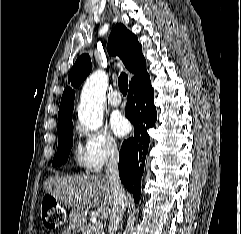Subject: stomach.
<instances>
[{"label": "stomach", "instance_id": "0dacf381", "mask_svg": "<svg viewBox=\"0 0 241 234\" xmlns=\"http://www.w3.org/2000/svg\"><path fill=\"white\" fill-rule=\"evenodd\" d=\"M71 220L72 222L75 224V223H81L83 219L82 216L78 215V214H73L72 217H71Z\"/></svg>", "mask_w": 241, "mask_h": 234}]
</instances>
